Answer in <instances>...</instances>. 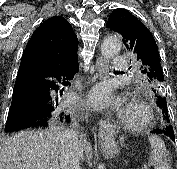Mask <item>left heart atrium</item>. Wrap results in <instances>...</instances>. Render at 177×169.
Masks as SVG:
<instances>
[{"instance_id": "39dd6f15", "label": "left heart atrium", "mask_w": 177, "mask_h": 169, "mask_svg": "<svg viewBox=\"0 0 177 169\" xmlns=\"http://www.w3.org/2000/svg\"><path fill=\"white\" fill-rule=\"evenodd\" d=\"M88 101L94 108L104 109L115 105V99L107 84L97 85L88 95Z\"/></svg>"}]
</instances>
